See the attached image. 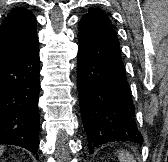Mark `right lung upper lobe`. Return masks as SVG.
Here are the masks:
<instances>
[{"instance_id": "1", "label": "right lung upper lobe", "mask_w": 168, "mask_h": 162, "mask_svg": "<svg viewBox=\"0 0 168 162\" xmlns=\"http://www.w3.org/2000/svg\"><path fill=\"white\" fill-rule=\"evenodd\" d=\"M39 45L36 18L26 8H14L0 25V66Z\"/></svg>"}]
</instances>
